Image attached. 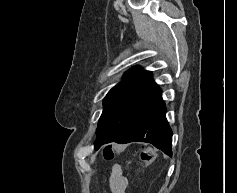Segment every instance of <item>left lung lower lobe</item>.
I'll return each instance as SVG.
<instances>
[{
  "mask_svg": "<svg viewBox=\"0 0 237 193\" xmlns=\"http://www.w3.org/2000/svg\"><path fill=\"white\" fill-rule=\"evenodd\" d=\"M165 113L161 90L154 83L135 107L127 126L115 142H146L172 156V130ZM95 149L99 148L95 146Z\"/></svg>",
  "mask_w": 237,
  "mask_h": 193,
  "instance_id": "0a47b994",
  "label": "left lung lower lobe"
}]
</instances>
